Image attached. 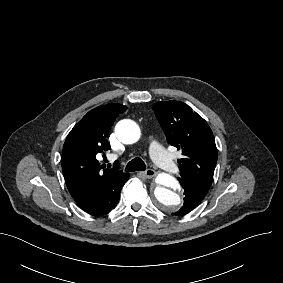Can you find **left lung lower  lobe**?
<instances>
[{"label":"left lung lower lobe","mask_w":283,"mask_h":283,"mask_svg":"<svg viewBox=\"0 0 283 283\" xmlns=\"http://www.w3.org/2000/svg\"><path fill=\"white\" fill-rule=\"evenodd\" d=\"M184 188V204L182 208L175 212L174 215H185L193 210L207 194L211 185L203 183L196 179L177 178Z\"/></svg>","instance_id":"1"}]
</instances>
